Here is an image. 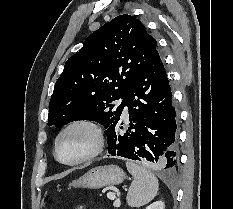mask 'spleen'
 I'll return each mask as SVG.
<instances>
[{"label": "spleen", "instance_id": "spleen-1", "mask_svg": "<svg viewBox=\"0 0 233 209\" xmlns=\"http://www.w3.org/2000/svg\"><path fill=\"white\" fill-rule=\"evenodd\" d=\"M126 167L133 176L126 196L128 205L135 208L149 203L158 192V179L152 172L134 162L127 161Z\"/></svg>", "mask_w": 233, "mask_h": 209}]
</instances>
